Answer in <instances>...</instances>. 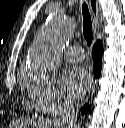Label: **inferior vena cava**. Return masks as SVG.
Masks as SVG:
<instances>
[{"label": "inferior vena cava", "mask_w": 125, "mask_h": 128, "mask_svg": "<svg viewBox=\"0 0 125 128\" xmlns=\"http://www.w3.org/2000/svg\"><path fill=\"white\" fill-rule=\"evenodd\" d=\"M64 108V113L61 116V119L59 120V125L60 126H66L70 127L73 122L76 121L77 116H78V106L75 105L71 101H67L63 105Z\"/></svg>", "instance_id": "inferior-vena-cava-1"}]
</instances>
